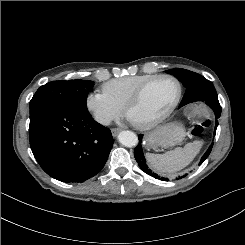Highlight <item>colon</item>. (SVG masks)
Here are the masks:
<instances>
[{"instance_id":"obj_1","label":"colon","mask_w":245,"mask_h":245,"mask_svg":"<svg viewBox=\"0 0 245 245\" xmlns=\"http://www.w3.org/2000/svg\"><path fill=\"white\" fill-rule=\"evenodd\" d=\"M210 125V121L208 119H202L198 122L191 130V134L193 136H199L203 133L204 129Z\"/></svg>"}]
</instances>
